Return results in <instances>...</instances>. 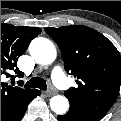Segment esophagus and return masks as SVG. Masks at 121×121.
Wrapping results in <instances>:
<instances>
[{"label": "esophagus", "instance_id": "34e87169", "mask_svg": "<svg viewBox=\"0 0 121 121\" xmlns=\"http://www.w3.org/2000/svg\"><path fill=\"white\" fill-rule=\"evenodd\" d=\"M44 94L47 96V97H50L52 96V91L48 90V91H45Z\"/></svg>", "mask_w": 121, "mask_h": 121}]
</instances>
